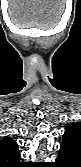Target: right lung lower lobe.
Listing matches in <instances>:
<instances>
[{"label":"right lung lower lobe","instance_id":"right-lung-lower-lobe-1","mask_svg":"<svg viewBox=\"0 0 81 167\" xmlns=\"http://www.w3.org/2000/svg\"><path fill=\"white\" fill-rule=\"evenodd\" d=\"M23 166H25V165L22 164V165H18V166H16V167H23Z\"/></svg>","mask_w":81,"mask_h":167}]
</instances>
